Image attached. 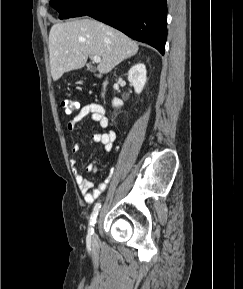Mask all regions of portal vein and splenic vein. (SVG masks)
<instances>
[{
	"instance_id": "18ae733b",
	"label": "portal vein and splenic vein",
	"mask_w": 243,
	"mask_h": 289,
	"mask_svg": "<svg viewBox=\"0 0 243 289\" xmlns=\"http://www.w3.org/2000/svg\"><path fill=\"white\" fill-rule=\"evenodd\" d=\"M93 61L95 63H100L101 62V57L100 56H93Z\"/></svg>"
}]
</instances>
